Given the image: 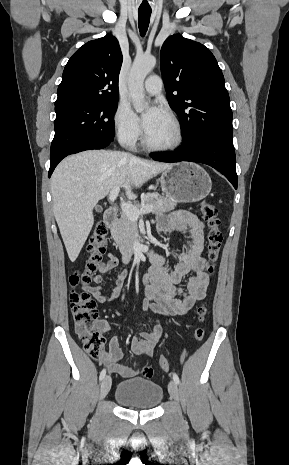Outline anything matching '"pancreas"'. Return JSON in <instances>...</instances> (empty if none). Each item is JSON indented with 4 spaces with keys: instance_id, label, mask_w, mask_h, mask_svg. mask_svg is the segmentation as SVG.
<instances>
[{
    "instance_id": "cf45deb5",
    "label": "pancreas",
    "mask_w": 289,
    "mask_h": 465,
    "mask_svg": "<svg viewBox=\"0 0 289 465\" xmlns=\"http://www.w3.org/2000/svg\"><path fill=\"white\" fill-rule=\"evenodd\" d=\"M144 204H135L137 208H143L147 205H152L153 214H162L173 210L177 202L169 197L160 196L157 193H147L142 196ZM112 237L116 242V246L121 252H132L135 240H140L138 226L136 220H131L123 212L120 219L116 221L112 228Z\"/></svg>"
}]
</instances>
